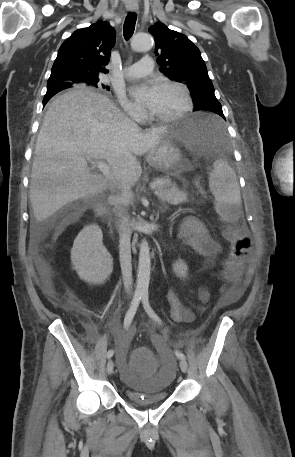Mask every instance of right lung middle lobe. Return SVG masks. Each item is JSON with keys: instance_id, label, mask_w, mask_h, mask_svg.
I'll list each match as a JSON object with an SVG mask.
<instances>
[{"instance_id": "right-lung-middle-lobe-1", "label": "right lung middle lobe", "mask_w": 295, "mask_h": 457, "mask_svg": "<svg viewBox=\"0 0 295 457\" xmlns=\"http://www.w3.org/2000/svg\"><path fill=\"white\" fill-rule=\"evenodd\" d=\"M98 82H99V78L94 77V78H91V79L88 80L87 85H92V86H95V87L101 86V87L104 88V89H109L108 86H106V85H104V84H99ZM71 87H72V86H71ZM56 93H57V91H54V92H53V94H56ZM48 100H49V99H48Z\"/></svg>"}]
</instances>
